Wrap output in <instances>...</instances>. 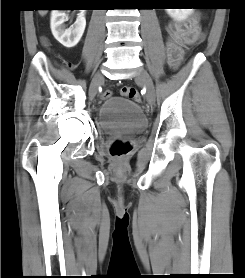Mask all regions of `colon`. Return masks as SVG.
<instances>
[{"instance_id":"obj_1","label":"colon","mask_w":245,"mask_h":278,"mask_svg":"<svg viewBox=\"0 0 245 278\" xmlns=\"http://www.w3.org/2000/svg\"><path fill=\"white\" fill-rule=\"evenodd\" d=\"M195 8L202 10V11H207L209 8H211V5L207 3H198L196 4ZM121 95L139 103L141 101V96L138 94V92L135 90L133 87H122L120 89ZM112 95L110 91H104L102 96L103 98H109ZM132 149V146L129 142H124L120 140H116L113 142L110 153L112 157L115 160H120L124 156H126Z\"/></svg>"}]
</instances>
